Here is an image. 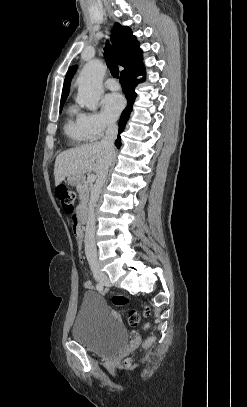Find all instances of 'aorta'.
<instances>
[{
	"label": "aorta",
	"mask_w": 247,
	"mask_h": 407,
	"mask_svg": "<svg viewBox=\"0 0 247 407\" xmlns=\"http://www.w3.org/2000/svg\"><path fill=\"white\" fill-rule=\"evenodd\" d=\"M105 72L106 66L100 60H93L84 66L77 79V102L91 111L98 108Z\"/></svg>",
	"instance_id": "762f6f07"
}]
</instances>
